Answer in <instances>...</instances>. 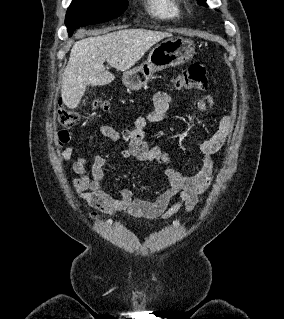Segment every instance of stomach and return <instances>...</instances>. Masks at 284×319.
I'll return each mask as SVG.
<instances>
[{"mask_svg":"<svg viewBox=\"0 0 284 319\" xmlns=\"http://www.w3.org/2000/svg\"><path fill=\"white\" fill-rule=\"evenodd\" d=\"M194 54V43L190 39H167L151 50L147 61L140 67L125 73L122 81L131 90H140L155 72L183 64L192 59Z\"/></svg>","mask_w":284,"mask_h":319,"instance_id":"0dacf381","label":"stomach"}]
</instances>
